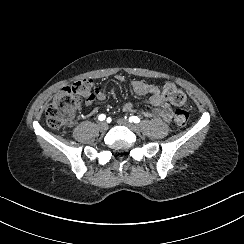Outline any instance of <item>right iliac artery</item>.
I'll list each match as a JSON object with an SVG mask.
<instances>
[{"label": "right iliac artery", "instance_id": "1", "mask_svg": "<svg viewBox=\"0 0 244 244\" xmlns=\"http://www.w3.org/2000/svg\"><path fill=\"white\" fill-rule=\"evenodd\" d=\"M105 118H106V116H105L104 114H101V115H99V117H98V119H99L100 121L105 120Z\"/></svg>", "mask_w": 244, "mask_h": 244}]
</instances>
